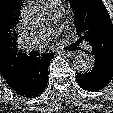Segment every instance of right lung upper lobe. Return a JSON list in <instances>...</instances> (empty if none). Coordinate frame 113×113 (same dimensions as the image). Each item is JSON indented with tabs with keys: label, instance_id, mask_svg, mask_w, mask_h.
I'll return each mask as SVG.
<instances>
[{
	"label": "right lung upper lobe",
	"instance_id": "obj_1",
	"mask_svg": "<svg viewBox=\"0 0 113 113\" xmlns=\"http://www.w3.org/2000/svg\"><path fill=\"white\" fill-rule=\"evenodd\" d=\"M19 9L20 0H0V73L7 84L20 75L30 58L16 48L15 25Z\"/></svg>",
	"mask_w": 113,
	"mask_h": 113
}]
</instances>
